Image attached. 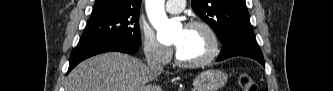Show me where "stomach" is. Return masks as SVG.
Returning <instances> with one entry per match:
<instances>
[{
	"instance_id": "obj_1",
	"label": "stomach",
	"mask_w": 333,
	"mask_h": 91,
	"mask_svg": "<svg viewBox=\"0 0 333 91\" xmlns=\"http://www.w3.org/2000/svg\"><path fill=\"white\" fill-rule=\"evenodd\" d=\"M227 82V77L220 70H207L200 73L193 82L194 91H218Z\"/></svg>"
}]
</instances>
